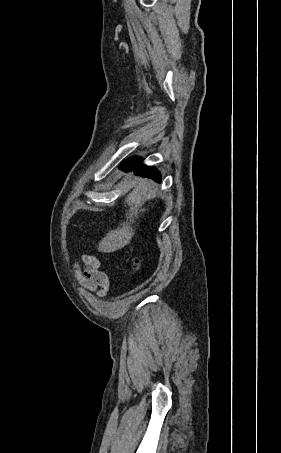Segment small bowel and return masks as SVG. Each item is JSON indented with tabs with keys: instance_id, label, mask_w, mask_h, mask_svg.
Segmentation results:
<instances>
[{
	"instance_id": "obj_1",
	"label": "small bowel",
	"mask_w": 281,
	"mask_h": 453,
	"mask_svg": "<svg viewBox=\"0 0 281 453\" xmlns=\"http://www.w3.org/2000/svg\"><path fill=\"white\" fill-rule=\"evenodd\" d=\"M84 265L76 262L77 277L91 291L105 295L111 287L109 275L99 269V261L95 256L83 258Z\"/></svg>"
}]
</instances>
